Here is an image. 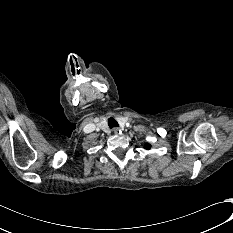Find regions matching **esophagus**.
Instances as JSON below:
<instances>
[{
  "label": "esophagus",
  "instance_id": "obj_1",
  "mask_svg": "<svg viewBox=\"0 0 233 233\" xmlns=\"http://www.w3.org/2000/svg\"><path fill=\"white\" fill-rule=\"evenodd\" d=\"M113 131L115 134H118L120 132V130L118 128H114Z\"/></svg>",
  "mask_w": 233,
  "mask_h": 233
}]
</instances>
